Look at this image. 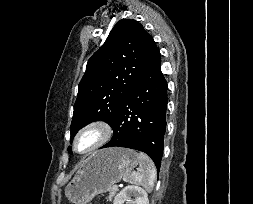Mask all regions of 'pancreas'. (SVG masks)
<instances>
[{"label":"pancreas","instance_id":"cf45deb5","mask_svg":"<svg viewBox=\"0 0 253 204\" xmlns=\"http://www.w3.org/2000/svg\"><path fill=\"white\" fill-rule=\"evenodd\" d=\"M118 191H119L118 188L116 189V188H114V186H112L109 190V195H108L107 199L109 201H111L115 197V195L117 194Z\"/></svg>","mask_w":253,"mask_h":204}]
</instances>
